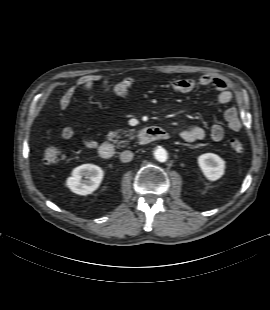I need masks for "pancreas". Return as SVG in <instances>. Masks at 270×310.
<instances>
[{"label": "pancreas", "mask_w": 270, "mask_h": 310, "mask_svg": "<svg viewBox=\"0 0 270 310\" xmlns=\"http://www.w3.org/2000/svg\"><path fill=\"white\" fill-rule=\"evenodd\" d=\"M132 131L133 130H131V133H132ZM120 131H115V132H112V133H109L108 135H107V138L109 139V140H112L113 138H118L119 136H118V133H119ZM127 131H124V133H126ZM130 133V134H131ZM126 136H129V134H126ZM124 142H126V141H121V142H119V144H121V143H124Z\"/></svg>", "instance_id": "1"}]
</instances>
